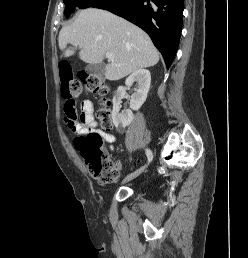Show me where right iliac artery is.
<instances>
[{"instance_id": "1", "label": "right iliac artery", "mask_w": 248, "mask_h": 258, "mask_svg": "<svg viewBox=\"0 0 248 258\" xmlns=\"http://www.w3.org/2000/svg\"><path fill=\"white\" fill-rule=\"evenodd\" d=\"M145 151H146V155H147L148 161L150 162L152 160V158H153V154H152L150 149H146Z\"/></svg>"}]
</instances>
